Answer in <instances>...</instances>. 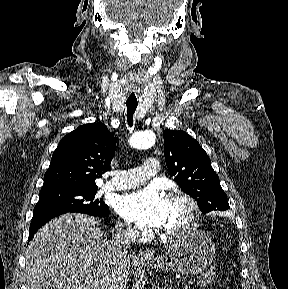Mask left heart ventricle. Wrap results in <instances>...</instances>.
<instances>
[{
  "label": "left heart ventricle",
  "instance_id": "b2bd125f",
  "mask_svg": "<svg viewBox=\"0 0 288 289\" xmlns=\"http://www.w3.org/2000/svg\"><path fill=\"white\" fill-rule=\"evenodd\" d=\"M188 210L181 201L167 200L166 221L163 224L164 230L178 229L187 222Z\"/></svg>",
  "mask_w": 288,
  "mask_h": 289
}]
</instances>
